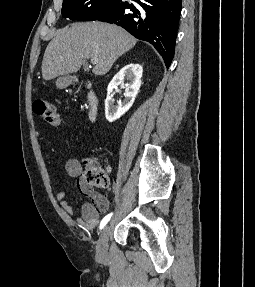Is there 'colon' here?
I'll return each mask as SVG.
<instances>
[{"label": "colon", "mask_w": 255, "mask_h": 287, "mask_svg": "<svg viewBox=\"0 0 255 287\" xmlns=\"http://www.w3.org/2000/svg\"><path fill=\"white\" fill-rule=\"evenodd\" d=\"M33 111L51 127L58 128L61 125V117L55 106L49 101L44 99L35 100L33 103ZM85 165L86 182L89 185L100 189L107 187L109 181L108 175L102 166L93 159H87Z\"/></svg>", "instance_id": "1"}]
</instances>
